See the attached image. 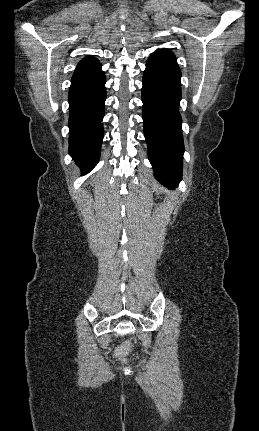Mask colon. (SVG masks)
I'll return each instance as SVG.
<instances>
[{
    "instance_id": "obj_1",
    "label": "colon",
    "mask_w": 259,
    "mask_h": 431,
    "mask_svg": "<svg viewBox=\"0 0 259 431\" xmlns=\"http://www.w3.org/2000/svg\"><path fill=\"white\" fill-rule=\"evenodd\" d=\"M131 349V343L129 340L124 341L116 350V357L124 359Z\"/></svg>"
}]
</instances>
